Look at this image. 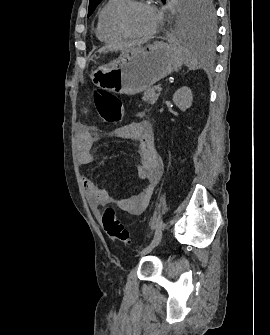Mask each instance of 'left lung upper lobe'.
Listing matches in <instances>:
<instances>
[{"label":"left lung upper lobe","mask_w":270,"mask_h":335,"mask_svg":"<svg viewBox=\"0 0 270 335\" xmlns=\"http://www.w3.org/2000/svg\"><path fill=\"white\" fill-rule=\"evenodd\" d=\"M163 3L166 0H161ZM212 0H184L183 17L188 28L200 33L214 31V7ZM101 0H90L88 17L93 13Z\"/></svg>","instance_id":"5c2ea615"}]
</instances>
